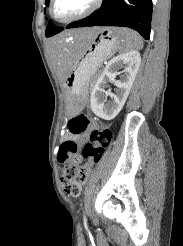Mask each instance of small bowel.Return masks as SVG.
I'll return each instance as SVG.
<instances>
[{
  "label": "small bowel",
  "mask_w": 183,
  "mask_h": 246,
  "mask_svg": "<svg viewBox=\"0 0 183 246\" xmlns=\"http://www.w3.org/2000/svg\"><path fill=\"white\" fill-rule=\"evenodd\" d=\"M63 141H66V140H72L76 143L78 142H84L86 140V135L84 134H74L72 133L71 131L69 133H66L64 136H63Z\"/></svg>",
  "instance_id": "c3829d8e"
}]
</instances>
